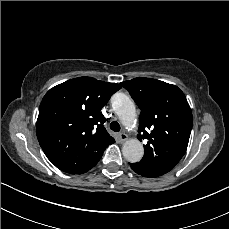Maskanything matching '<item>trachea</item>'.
Wrapping results in <instances>:
<instances>
[{
  "label": "trachea",
  "instance_id": "1",
  "mask_svg": "<svg viewBox=\"0 0 229 229\" xmlns=\"http://www.w3.org/2000/svg\"><path fill=\"white\" fill-rule=\"evenodd\" d=\"M110 129L114 132H119L120 131V124L117 121H113L110 124Z\"/></svg>",
  "mask_w": 229,
  "mask_h": 229
}]
</instances>
